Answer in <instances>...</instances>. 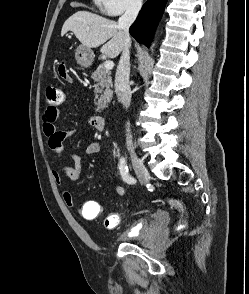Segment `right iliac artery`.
<instances>
[{
  "label": "right iliac artery",
  "instance_id": "1",
  "mask_svg": "<svg viewBox=\"0 0 249 294\" xmlns=\"http://www.w3.org/2000/svg\"><path fill=\"white\" fill-rule=\"evenodd\" d=\"M119 170L122 176V179L128 184H135L136 179L129 174L128 166L126 164L125 158H121L119 161Z\"/></svg>",
  "mask_w": 249,
  "mask_h": 294
}]
</instances>
